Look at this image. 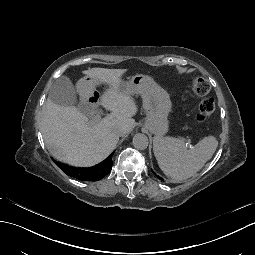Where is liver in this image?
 Wrapping results in <instances>:
<instances>
[{"mask_svg":"<svg viewBox=\"0 0 255 255\" xmlns=\"http://www.w3.org/2000/svg\"><path fill=\"white\" fill-rule=\"evenodd\" d=\"M126 69L91 68L82 71L93 80L110 87L101 96L100 104L111 114L94 123L74 106H61L47 99L42 114L41 132L47 149L57 160L76 167H91L105 160L115 148L119 136L114 127L126 124L131 130L137 107L128 91L119 89ZM156 96L163 106L170 104L168 93L155 82L144 101ZM168 114V112L166 113Z\"/></svg>","mask_w":255,"mask_h":255,"instance_id":"obj_1","label":"liver"}]
</instances>
